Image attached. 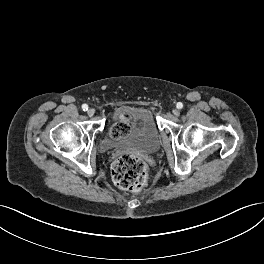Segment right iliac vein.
<instances>
[{
	"label": "right iliac vein",
	"instance_id": "obj_1",
	"mask_svg": "<svg viewBox=\"0 0 264 264\" xmlns=\"http://www.w3.org/2000/svg\"><path fill=\"white\" fill-rule=\"evenodd\" d=\"M94 113H95L94 109H89L87 111V114H88L89 117H92L94 115Z\"/></svg>",
	"mask_w": 264,
	"mask_h": 264
}]
</instances>
